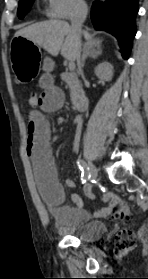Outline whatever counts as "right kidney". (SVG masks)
I'll return each mask as SVG.
<instances>
[{
	"instance_id": "right-kidney-1",
	"label": "right kidney",
	"mask_w": 148,
	"mask_h": 279,
	"mask_svg": "<svg viewBox=\"0 0 148 279\" xmlns=\"http://www.w3.org/2000/svg\"><path fill=\"white\" fill-rule=\"evenodd\" d=\"M95 75L102 81H111L113 77V65L107 61L96 66Z\"/></svg>"
}]
</instances>
